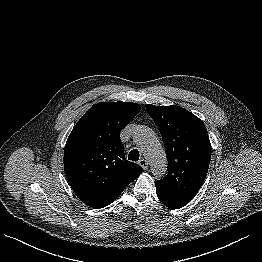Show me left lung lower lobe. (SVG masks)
<instances>
[{
  "label": "left lung lower lobe",
  "mask_w": 262,
  "mask_h": 262,
  "mask_svg": "<svg viewBox=\"0 0 262 262\" xmlns=\"http://www.w3.org/2000/svg\"><path fill=\"white\" fill-rule=\"evenodd\" d=\"M157 196L162 201L164 205H166L170 209H179L185 206L187 203H184L182 201L173 200L171 198H167L159 193H157Z\"/></svg>",
  "instance_id": "obj_1"
}]
</instances>
